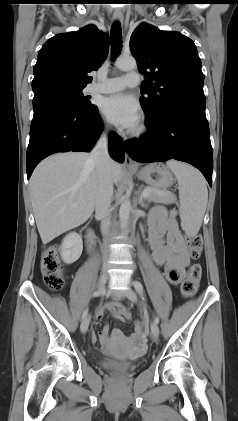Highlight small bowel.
I'll return each instance as SVG.
<instances>
[{
    "label": "small bowel",
    "instance_id": "obj_1",
    "mask_svg": "<svg viewBox=\"0 0 238 421\" xmlns=\"http://www.w3.org/2000/svg\"><path fill=\"white\" fill-rule=\"evenodd\" d=\"M148 229L154 262L164 267L166 277L171 283H179L189 265V252L176 218L164 208H155L150 214ZM104 309L109 310L112 316L119 321L130 318V313L124 305L117 301H111L106 303L104 308L97 310V319L104 316ZM99 337L103 348L114 342L139 346L144 344L143 328L138 322L135 323V330L129 338L125 337L119 329H114L110 334L107 325L99 332ZM96 340V335L93 333L92 341L96 342Z\"/></svg>",
    "mask_w": 238,
    "mask_h": 421
}]
</instances>
